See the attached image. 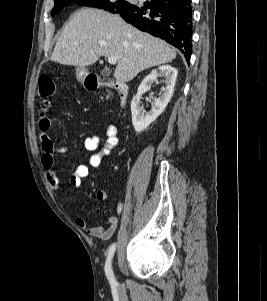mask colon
<instances>
[{
    "label": "colon",
    "mask_w": 267,
    "mask_h": 301,
    "mask_svg": "<svg viewBox=\"0 0 267 301\" xmlns=\"http://www.w3.org/2000/svg\"><path fill=\"white\" fill-rule=\"evenodd\" d=\"M38 85H39L38 95L42 99H47L51 97L55 92L54 81L49 76L46 75L41 76L39 78Z\"/></svg>",
    "instance_id": "5ec220e1"
}]
</instances>
